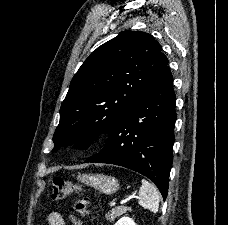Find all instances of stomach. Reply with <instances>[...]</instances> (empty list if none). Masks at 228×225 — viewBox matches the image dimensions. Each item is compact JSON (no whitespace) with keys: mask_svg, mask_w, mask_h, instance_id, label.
I'll use <instances>...</instances> for the list:
<instances>
[{"mask_svg":"<svg viewBox=\"0 0 228 225\" xmlns=\"http://www.w3.org/2000/svg\"><path fill=\"white\" fill-rule=\"evenodd\" d=\"M78 181L105 195H113L120 189L119 181L115 177H106V175H78Z\"/></svg>","mask_w":228,"mask_h":225,"instance_id":"1","label":"stomach"}]
</instances>
